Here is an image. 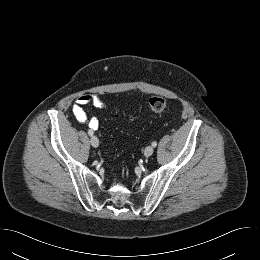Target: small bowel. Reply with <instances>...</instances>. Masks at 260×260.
Returning a JSON list of instances; mask_svg holds the SVG:
<instances>
[{
    "label": "small bowel",
    "mask_w": 260,
    "mask_h": 260,
    "mask_svg": "<svg viewBox=\"0 0 260 260\" xmlns=\"http://www.w3.org/2000/svg\"><path fill=\"white\" fill-rule=\"evenodd\" d=\"M87 105H93L97 108H104L105 103L96 94H83L80 95L72 105V113L75 119L80 123H86L91 131H95L99 128V122L96 118H89L84 107Z\"/></svg>",
    "instance_id": "c3829d8e"
}]
</instances>
